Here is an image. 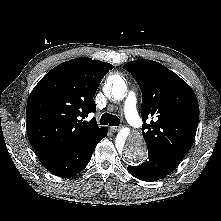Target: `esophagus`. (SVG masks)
Masks as SVG:
<instances>
[{
    "mask_svg": "<svg viewBox=\"0 0 221 221\" xmlns=\"http://www.w3.org/2000/svg\"><path fill=\"white\" fill-rule=\"evenodd\" d=\"M118 130H119V127H111V131L114 133L117 132Z\"/></svg>",
    "mask_w": 221,
    "mask_h": 221,
    "instance_id": "esophagus-1",
    "label": "esophagus"
}]
</instances>
